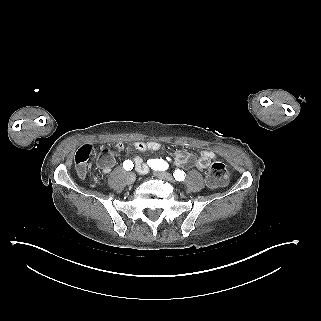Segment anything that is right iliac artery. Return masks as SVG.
<instances>
[{
	"label": "right iliac artery",
	"mask_w": 321,
	"mask_h": 321,
	"mask_svg": "<svg viewBox=\"0 0 321 321\" xmlns=\"http://www.w3.org/2000/svg\"><path fill=\"white\" fill-rule=\"evenodd\" d=\"M123 167H124L125 170L131 171L133 169V167H134V164H133V162L131 160L128 159V160L124 161Z\"/></svg>",
	"instance_id": "right-iliac-artery-1"
}]
</instances>
